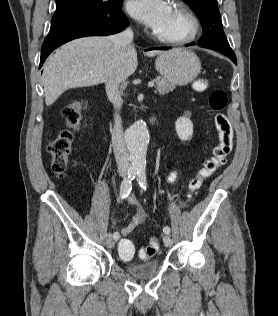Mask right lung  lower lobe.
<instances>
[{"label": "right lung lower lobe", "instance_id": "obj_1", "mask_svg": "<svg viewBox=\"0 0 278 316\" xmlns=\"http://www.w3.org/2000/svg\"><path fill=\"white\" fill-rule=\"evenodd\" d=\"M122 2L123 0H115L104 7L54 15L49 34L41 49L39 68L54 49L68 41L122 31L128 25L127 17L122 12Z\"/></svg>", "mask_w": 278, "mask_h": 316}]
</instances>
